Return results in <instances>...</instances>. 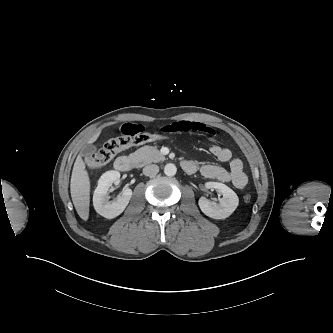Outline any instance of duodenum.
<instances>
[{
  "instance_id": "obj_1",
  "label": "duodenum",
  "mask_w": 333,
  "mask_h": 333,
  "mask_svg": "<svg viewBox=\"0 0 333 333\" xmlns=\"http://www.w3.org/2000/svg\"><path fill=\"white\" fill-rule=\"evenodd\" d=\"M136 164V160L127 156H120L114 162V167L120 172H127L133 168ZM182 167L185 170L184 161L182 162Z\"/></svg>"
}]
</instances>
